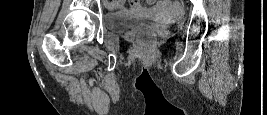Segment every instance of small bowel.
<instances>
[{"instance_id": "obj_1", "label": "small bowel", "mask_w": 267, "mask_h": 115, "mask_svg": "<svg viewBox=\"0 0 267 115\" xmlns=\"http://www.w3.org/2000/svg\"><path fill=\"white\" fill-rule=\"evenodd\" d=\"M149 6H145L137 1L132 2L129 7L124 8L119 2H113V7L121 8L124 12L135 15H164L166 13H177L180 11V6L171 3L168 0H161L157 2L149 1Z\"/></svg>"}]
</instances>
